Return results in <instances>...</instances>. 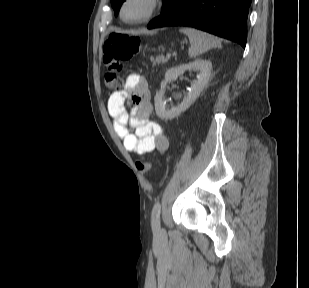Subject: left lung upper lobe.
I'll list each match as a JSON object with an SVG mask.
<instances>
[{"label":"left lung upper lobe","mask_w":309,"mask_h":288,"mask_svg":"<svg viewBox=\"0 0 309 288\" xmlns=\"http://www.w3.org/2000/svg\"><path fill=\"white\" fill-rule=\"evenodd\" d=\"M125 0H111V5L115 11V15H117L121 4L124 2ZM175 0H163L164 4H163V8L162 11H164L165 9H167Z\"/></svg>","instance_id":"left-lung-upper-lobe-1"}]
</instances>
